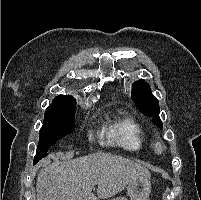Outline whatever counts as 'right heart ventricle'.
<instances>
[{"label": "right heart ventricle", "instance_id": "e07e8e85", "mask_svg": "<svg viewBox=\"0 0 201 200\" xmlns=\"http://www.w3.org/2000/svg\"><path fill=\"white\" fill-rule=\"evenodd\" d=\"M108 143L127 151H139L146 143L142 126L129 114H122L105 129Z\"/></svg>", "mask_w": 201, "mask_h": 200}]
</instances>
